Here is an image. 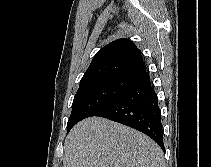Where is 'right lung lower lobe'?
Listing matches in <instances>:
<instances>
[{"label":"right lung lower lobe","mask_w":211,"mask_h":167,"mask_svg":"<svg viewBox=\"0 0 211 167\" xmlns=\"http://www.w3.org/2000/svg\"><path fill=\"white\" fill-rule=\"evenodd\" d=\"M131 86L93 116L104 117L139 130L163 150V126L158 97L148 72L132 77Z\"/></svg>","instance_id":"obj_1"}]
</instances>
